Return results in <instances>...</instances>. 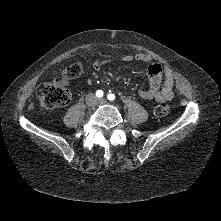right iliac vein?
Masks as SVG:
<instances>
[{"label":"right iliac vein","mask_w":221,"mask_h":221,"mask_svg":"<svg viewBox=\"0 0 221 221\" xmlns=\"http://www.w3.org/2000/svg\"><path fill=\"white\" fill-rule=\"evenodd\" d=\"M90 101L93 103V102H95V99L93 97H91Z\"/></svg>","instance_id":"right-iliac-vein-1"}]
</instances>
